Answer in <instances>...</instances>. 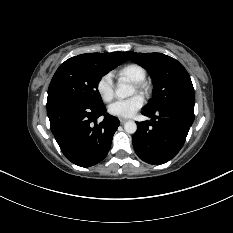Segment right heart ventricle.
<instances>
[{
    "label": "right heart ventricle",
    "instance_id": "e07e8e85",
    "mask_svg": "<svg viewBox=\"0 0 233 233\" xmlns=\"http://www.w3.org/2000/svg\"><path fill=\"white\" fill-rule=\"evenodd\" d=\"M116 75L120 79H127L132 83L142 82L146 80L147 72L146 69L137 63H129L116 71Z\"/></svg>",
    "mask_w": 233,
    "mask_h": 233
}]
</instances>
